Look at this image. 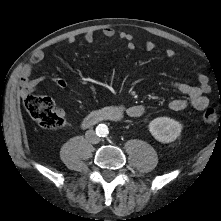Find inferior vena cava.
<instances>
[{"label":"inferior vena cava","mask_w":221,"mask_h":221,"mask_svg":"<svg viewBox=\"0 0 221 221\" xmlns=\"http://www.w3.org/2000/svg\"><path fill=\"white\" fill-rule=\"evenodd\" d=\"M85 137L92 144H97L100 142V138L96 135L94 130L86 131Z\"/></svg>","instance_id":"602c4592"}]
</instances>
